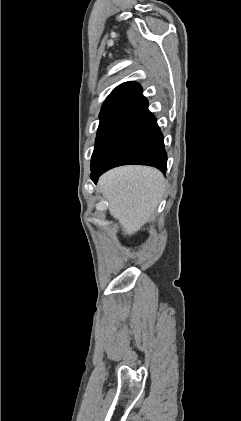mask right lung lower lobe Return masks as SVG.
<instances>
[{
  "instance_id": "1",
  "label": "right lung lower lobe",
  "mask_w": 241,
  "mask_h": 421,
  "mask_svg": "<svg viewBox=\"0 0 241 421\" xmlns=\"http://www.w3.org/2000/svg\"><path fill=\"white\" fill-rule=\"evenodd\" d=\"M127 164L149 165L160 169L167 168V154L163 135L155 116L148 110V101L141 96L121 126L119 132L91 167V178L96 183L105 171Z\"/></svg>"
}]
</instances>
